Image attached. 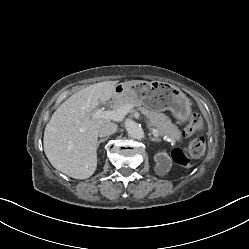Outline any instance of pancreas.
Returning a JSON list of instances; mask_svg holds the SVG:
<instances>
[{
	"mask_svg": "<svg viewBox=\"0 0 249 249\" xmlns=\"http://www.w3.org/2000/svg\"><path fill=\"white\" fill-rule=\"evenodd\" d=\"M126 104L137 107L138 110L146 115L153 126L157 127V131L160 135L171 138L173 141H180V130L165 114L148 109L146 106H143L139 101L131 96L116 97L113 102V108L118 109Z\"/></svg>",
	"mask_w": 249,
	"mask_h": 249,
	"instance_id": "1",
	"label": "pancreas"
}]
</instances>
